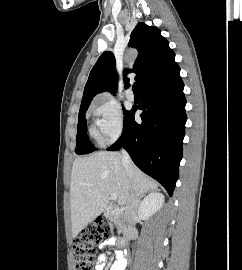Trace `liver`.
<instances>
[{
    "label": "liver",
    "instance_id": "6515ba94",
    "mask_svg": "<svg viewBox=\"0 0 242 270\" xmlns=\"http://www.w3.org/2000/svg\"><path fill=\"white\" fill-rule=\"evenodd\" d=\"M157 185L134 164L128 176L120 153L101 151L76 158L70 184L72 236L106 209L111 193L117 194L118 204L124 206L131 193L140 197Z\"/></svg>",
    "mask_w": 242,
    "mask_h": 270
}]
</instances>
